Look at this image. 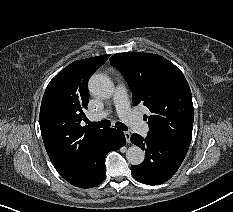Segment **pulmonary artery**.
Returning <instances> with one entry per match:
<instances>
[{
  "instance_id": "pulmonary-artery-1",
  "label": "pulmonary artery",
  "mask_w": 233,
  "mask_h": 212,
  "mask_svg": "<svg viewBox=\"0 0 233 212\" xmlns=\"http://www.w3.org/2000/svg\"><path fill=\"white\" fill-rule=\"evenodd\" d=\"M113 101L120 118L127 123L134 131L146 135L149 131L148 125L130 108L127 92L124 86L118 85L115 89ZM108 115L107 111L90 115L91 120H97Z\"/></svg>"
}]
</instances>
